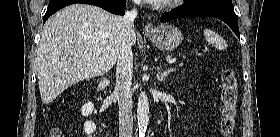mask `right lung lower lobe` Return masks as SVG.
<instances>
[{
	"instance_id": "98d812e1",
	"label": "right lung lower lobe",
	"mask_w": 280,
	"mask_h": 137,
	"mask_svg": "<svg viewBox=\"0 0 280 137\" xmlns=\"http://www.w3.org/2000/svg\"><path fill=\"white\" fill-rule=\"evenodd\" d=\"M73 3L92 4L113 14H125V0H50L46 14L44 15L43 23L58 10Z\"/></svg>"
}]
</instances>
